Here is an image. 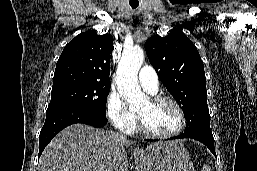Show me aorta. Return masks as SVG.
Here are the masks:
<instances>
[{"label":"aorta","mask_w":257,"mask_h":171,"mask_svg":"<svg viewBox=\"0 0 257 171\" xmlns=\"http://www.w3.org/2000/svg\"><path fill=\"white\" fill-rule=\"evenodd\" d=\"M144 61V52L140 47L124 50L117 71V88L130 109L146 101L145 94L138 83V72Z\"/></svg>","instance_id":"1"}]
</instances>
